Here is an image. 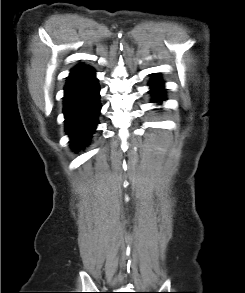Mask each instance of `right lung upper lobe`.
<instances>
[{"mask_svg": "<svg viewBox=\"0 0 245 293\" xmlns=\"http://www.w3.org/2000/svg\"><path fill=\"white\" fill-rule=\"evenodd\" d=\"M87 69H89V67H86V66H84L82 64L79 65V66H76L75 68H73L71 70V73H70L68 78H70V77H72V76H74V75H76V74H78V73H80V72H82L84 70H87Z\"/></svg>", "mask_w": 245, "mask_h": 293, "instance_id": "right-lung-upper-lobe-1", "label": "right lung upper lobe"}]
</instances>
